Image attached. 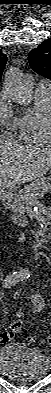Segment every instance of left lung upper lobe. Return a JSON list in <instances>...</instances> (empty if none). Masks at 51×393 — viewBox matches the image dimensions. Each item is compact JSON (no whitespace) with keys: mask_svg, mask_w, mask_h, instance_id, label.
I'll use <instances>...</instances> for the list:
<instances>
[{"mask_svg":"<svg viewBox=\"0 0 51 393\" xmlns=\"http://www.w3.org/2000/svg\"><path fill=\"white\" fill-rule=\"evenodd\" d=\"M28 60L36 73L51 79V38L31 50Z\"/></svg>","mask_w":51,"mask_h":393,"instance_id":"obj_1","label":"left lung upper lobe"}]
</instances>
